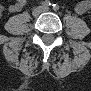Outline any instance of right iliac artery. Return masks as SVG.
Wrapping results in <instances>:
<instances>
[{
	"label": "right iliac artery",
	"instance_id": "1",
	"mask_svg": "<svg viewBox=\"0 0 91 91\" xmlns=\"http://www.w3.org/2000/svg\"><path fill=\"white\" fill-rule=\"evenodd\" d=\"M40 5L42 7H49L51 5V2L49 0H45V1L40 2Z\"/></svg>",
	"mask_w": 91,
	"mask_h": 91
}]
</instances>
